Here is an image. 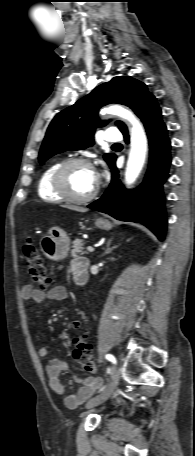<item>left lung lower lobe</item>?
I'll use <instances>...</instances> for the list:
<instances>
[{"mask_svg":"<svg viewBox=\"0 0 195 456\" xmlns=\"http://www.w3.org/2000/svg\"><path fill=\"white\" fill-rule=\"evenodd\" d=\"M136 114L145 126L150 146L149 166L143 183L135 190L127 191L118 179L114 161L110 166L113 170L110 186L100 199L88 207L118 220L142 223L163 240L167 220L162 185L168 178L171 145L154 96ZM123 135L128 143L127 131Z\"/></svg>","mask_w":195,"mask_h":456,"instance_id":"left-lung-lower-lobe-1","label":"left lung lower lobe"}]
</instances>
